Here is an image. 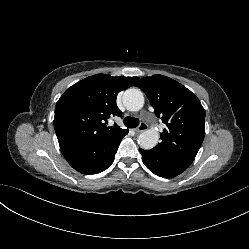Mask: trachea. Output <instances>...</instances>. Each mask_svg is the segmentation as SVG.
Wrapping results in <instances>:
<instances>
[{
    "label": "trachea",
    "mask_w": 249,
    "mask_h": 249,
    "mask_svg": "<svg viewBox=\"0 0 249 249\" xmlns=\"http://www.w3.org/2000/svg\"><path fill=\"white\" fill-rule=\"evenodd\" d=\"M124 125L128 128H135L139 125V119L135 117H125L124 118Z\"/></svg>",
    "instance_id": "trachea-1"
}]
</instances>
